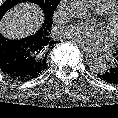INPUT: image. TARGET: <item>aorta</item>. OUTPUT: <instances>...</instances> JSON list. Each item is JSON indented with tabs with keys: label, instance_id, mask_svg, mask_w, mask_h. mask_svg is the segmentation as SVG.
Returning <instances> with one entry per match:
<instances>
[{
	"label": "aorta",
	"instance_id": "aorta-1",
	"mask_svg": "<svg viewBox=\"0 0 118 118\" xmlns=\"http://www.w3.org/2000/svg\"><path fill=\"white\" fill-rule=\"evenodd\" d=\"M87 6L86 0H67L66 11L75 19L88 20L90 14ZM89 67L92 72L98 74L104 73L107 70L105 60L100 57L92 59L89 63Z\"/></svg>",
	"mask_w": 118,
	"mask_h": 118
}]
</instances>
